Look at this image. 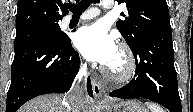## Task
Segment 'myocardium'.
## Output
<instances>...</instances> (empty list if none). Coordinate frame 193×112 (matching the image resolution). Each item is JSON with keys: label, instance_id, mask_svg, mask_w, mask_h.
<instances>
[{"label": "myocardium", "instance_id": "f54148a6", "mask_svg": "<svg viewBox=\"0 0 193 112\" xmlns=\"http://www.w3.org/2000/svg\"><path fill=\"white\" fill-rule=\"evenodd\" d=\"M118 50L124 58L123 69L119 72H115L106 66L103 68V73L111 82L116 84H125L134 77L136 71V61L132 50L126 43H121Z\"/></svg>", "mask_w": 193, "mask_h": 112}]
</instances>
